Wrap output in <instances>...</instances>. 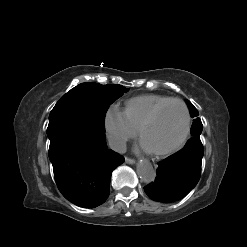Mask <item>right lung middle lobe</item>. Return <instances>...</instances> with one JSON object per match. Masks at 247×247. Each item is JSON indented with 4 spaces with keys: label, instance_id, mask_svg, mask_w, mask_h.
<instances>
[{
    "label": "right lung middle lobe",
    "instance_id": "1",
    "mask_svg": "<svg viewBox=\"0 0 247 247\" xmlns=\"http://www.w3.org/2000/svg\"><path fill=\"white\" fill-rule=\"evenodd\" d=\"M129 89L121 85L82 83L61 97L52 109L49 120L78 116L105 130V114L115 100Z\"/></svg>",
    "mask_w": 247,
    "mask_h": 247
}]
</instances>
